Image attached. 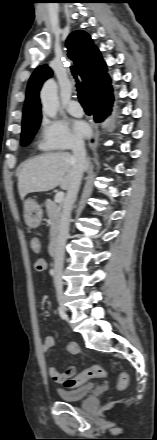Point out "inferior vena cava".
<instances>
[{
	"mask_svg": "<svg viewBox=\"0 0 157 440\" xmlns=\"http://www.w3.org/2000/svg\"><path fill=\"white\" fill-rule=\"evenodd\" d=\"M72 151L74 161V176L68 188L67 195L64 201L54 254V285L55 288L59 291L62 290L63 286L62 272L65 255V245L69 235L71 211L73 204L77 199V194L80 188L82 174L86 162L84 141L82 139H75L72 144Z\"/></svg>",
	"mask_w": 157,
	"mask_h": 440,
	"instance_id": "1",
	"label": "inferior vena cava"
}]
</instances>
